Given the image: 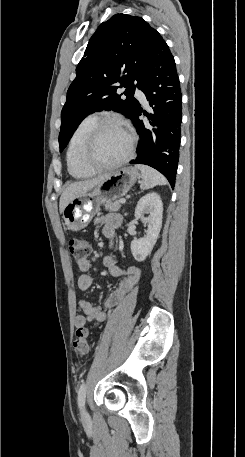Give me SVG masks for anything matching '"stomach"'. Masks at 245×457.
<instances>
[{"mask_svg":"<svg viewBox=\"0 0 245 457\" xmlns=\"http://www.w3.org/2000/svg\"><path fill=\"white\" fill-rule=\"evenodd\" d=\"M141 174L135 166H123L110 172L105 180L78 194L70 200L63 210V224L68 231H81L89 224L94 214L98 212L102 202H112L119 196H124L129 188L135 184Z\"/></svg>","mask_w":245,"mask_h":457,"instance_id":"1","label":"stomach"}]
</instances>
